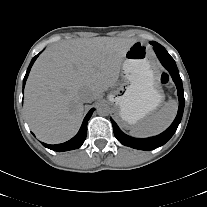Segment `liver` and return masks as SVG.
Here are the masks:
<instances>
[{"mask_svg":"<svg viewBox=\"0 0 207 207\" xmlns=\"http://www.w3.org/2000/svg\"><path fill=\"white\" fill-rule=\"evenodd\" d=\"M135 42L94 37L49 46L34 63L25 87L24 111L36 137L49 144L72 138L83 119L81 94L90 93L94 101L114 86Z\"/></svg>","mask_w":207,"mask_h":207,"instance_id":"1","label":"liver"}]
</instances>
